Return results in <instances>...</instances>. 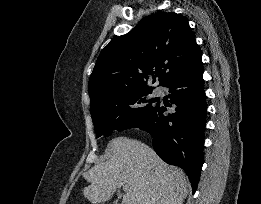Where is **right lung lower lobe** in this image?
Segmentation results:
<instances>
[{"label":"right lung lower lobe","mask_w":261,"mask_h":204,"mask_svg":"<svg viewBox=\"0 0 261 204\" xmlns=\"http://www.w3.org/2000/svg\"><path fill=\"white\" fill-rule=\"evenodd\" d=\"M202 75L200 58L164 85L170 89V103L176 105L174 112L165 116L164 112L171 104L164 106L158 102L150 114L134 126L152 136L156 153L166 163L179 166L186 172L193 194L197 190L204 162L206 97Z\"/></svg>","instance_id":"98d812e1"}]
</instances>
